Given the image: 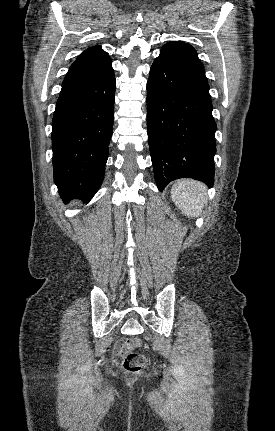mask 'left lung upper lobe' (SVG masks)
<instances>
[{
    "label": "left lung upper lobe",
    "instance_id": "left-lung-upper-lobe-1",
    "mask_svg": "<svg viewBox=\"0 0 275 431\" xmlns=\"http://www.w3.org/2000/svg\"><path fill=\"white\" fill-rule=\"evenodd\" d=\"M166 45H171V46H175V47L182 49L200 66V68L203 69L202 64H201V62L197 56L196 50L191 45L184 43V42H181V41L169 42Z\"/></svg>",
    "mask_w": 275,
    "mask_h": 431
}]
</instances>
